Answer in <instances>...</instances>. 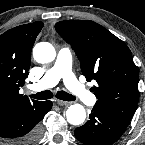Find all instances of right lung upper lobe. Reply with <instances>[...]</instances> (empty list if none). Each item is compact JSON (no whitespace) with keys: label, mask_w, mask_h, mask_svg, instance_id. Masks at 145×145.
Here are the masks:
<instances>
[{"label":"right lung upper lobe","mask_w":145,"mask_h":145,"mask_svg":"<svg viewBox=\"0 0 145 145\" xmlns=\"http://www.w3.org/2000/svg\"><path fill=\"white\" fill-rule=\"evenodd\" d=\"M43 25L25 24L0 35V111L37 102L19 94V90L28 76L31 50Z\"/></svg>","instance_id":"cb5924a9"}]
</instances>
